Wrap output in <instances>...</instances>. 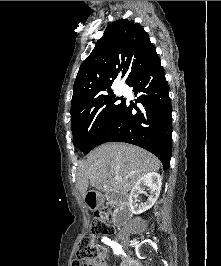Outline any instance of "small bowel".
Instances as JSON below:
<instances>
[{"instance_id":"obj_1","label":"small bowel","mask_w":221,"mask_h":266,"mask_svg":"<svg viewBox=\"0 0 221 266\" xmlns=\"http://www.w3.org/2000/svg\"><path fill=\"white\" fill-rule=\"evenodd\" d=\"M105 258H106V251L102 250L98 254L95 260L89 262H83L82 266H107ZM72 266H81V264L78 261H74L72 263Z\"/></svg>"}]
</instances>
